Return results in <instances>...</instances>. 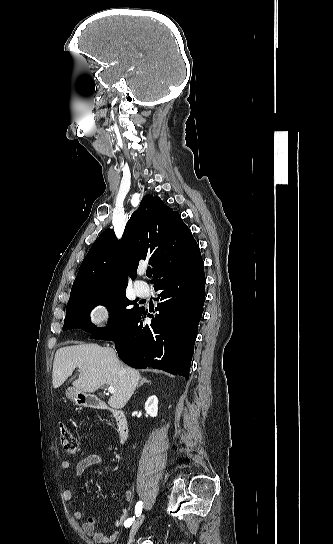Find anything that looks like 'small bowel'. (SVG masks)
Masks as SVG:
<instances>
[{
    "mask_svg": "<svg viewBox=\"0 0 333 544\" xmlns=\"http://www.w3.org/2000/svg\"><path fill=\"white\" fill-rule=\"evenodd\" d=\"M101 462H102V459L98 454H90L77 462V464L74 467V475L77 477L81 476L88 468L99 465ZM60 468L62 471V479L63 481H66L68 478L67 474L71 470L72 465L69 461H63L61 463ZM125 498L127 501H132L134 499V492L132 490H127L125 493ZM62 499L66 502H69L72 499V491L67 485H64L63 487ZM129 515H130L129 509L124 508L122 510V514L115 522L116 529H119L125 524V522L129 519ZM73 517L76 520H81L84 518V522L82 523V529L87 535L91 536L96 542H99V543L113 542L117 539L119 535L118 530H115L109 535H105L104 533L98 531L96 528V524H97L96 518L94 516L84 517V513L82 510H75L73 512Z\"/></svg>",
    "mask_w": 333,
    "mask_h": 544,
    "instance_id": "c3829d8e",
    "label": "small bowel"
}]
</instances>
